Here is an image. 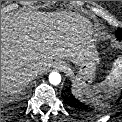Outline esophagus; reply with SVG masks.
<instances>
[{"label":"esophagus","instance_id":"34e87169","mask_svg":"<svg viewBox=\"0 0 122 122\" xmlns=\"http://www.w3.org/2000/svg\"><path fill=\"white\" fill-rule=\"evenodd\" d=\"M53 67L57 70H64L65 69V65L63 62H55Z\"/></svg>","mask_w":122,"mask_h":122}]
</instances>
